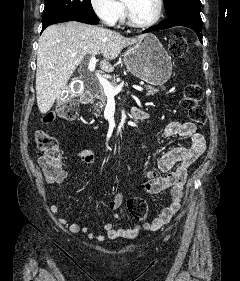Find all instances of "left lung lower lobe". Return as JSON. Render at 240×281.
I'll list each match as a JSON object with an SVG mask.
<instances>
[{
    "label": "left lung lower lobe",
    "instance_id": "1",
    "mask_svg": "<svg viewBox=\"0 0 240 281\" xmlns=\"http://www.w3.org/2000/svg\"><path fill=\"white\" fill-rule=\"evenodd\" d=\"M200 10V8L195 7H183L170 14L167 19L160 22L157 26H153L143 31V33L167 29L174 26H185L195 31L199 40L202 41L203 22L200 16Z\"/></svg>",
    "mask_w": 240,
    "mask_h": 281
}]
</instances>
